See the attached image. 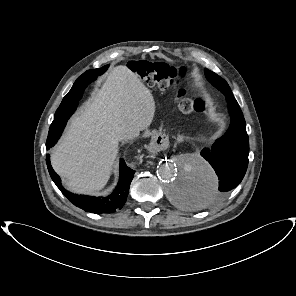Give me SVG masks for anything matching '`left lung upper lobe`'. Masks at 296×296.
I'll return each instance as SVG.
<instances>
[{
    "instance_id": "obj_1",
    "label": "left lung upper lobe",
    "mask_w": 296,
    "mask_h": 296,
    "mask_svg": "<svg viewBox=\"0 0 296 296\" xmlns=\"http://www.w3.org/2000/svg\"><path fill=\"white\" fill-rule=\"evenodd\" d=\"M205 74H206L207 79L218 90H220L225 95L226 98L233 96L229 85L227 84V82L224 79H222L220 76H218L217 74H215L214 72H212L208 69H205Z\"/></svg>"
}]
</instances>
